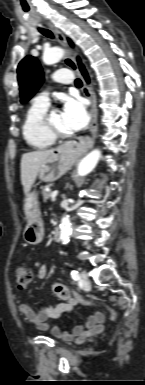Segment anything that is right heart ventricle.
Returning <instances> with one entry per match:
<instances>
[{
  "instance_id": "right-heart-ventricle-1",
  "label": "right heart ventricle",
  "mask_w": 145,
  "mask_h": 385,
  "mask_svg": "<svg viewBox=\"0 0 145 385\" xmlns=\"http://www.w3.org/2000/svg\"><path fill=\"white\" fill-rule=\"evenodd\" d=\"M48 106L33 102L27 109L22 122L21 131L27 145L35 150H43L54 143L43 128V118Z\"/></svg>"
}]
</instances>
